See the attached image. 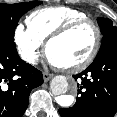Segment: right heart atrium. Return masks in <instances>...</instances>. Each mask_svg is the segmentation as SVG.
I'll return each mask as SVG.
<instances>
[{"label": "right heart atrium", "mask_w": 117, "mask_h": 117, "mask_svg": "<svg viewBox=\"0 0 117 117\" xmlns=\"http://www.w3.org/2000/svg\"><path fill=\"white\" fill-rule=\"evenodd\" d=\"M14 43L21 58L31 64H36L42 55V42L22 24L14 28Z\"/></svg>", "instance_id": "obj_1"}]
</instances>
